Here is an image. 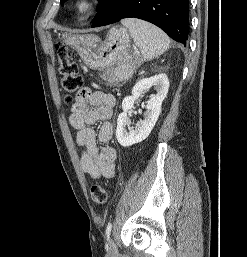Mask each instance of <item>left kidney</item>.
Returning a JSON list of instances; mask_svg holds the SVG:
<instances>
[{"mask_svg": "<svg viewBox=\"0 0 247 257\" xmlns=\"http://www.w3.org/2000/svg\"><path fill=\"white\" fill-rule=\"evenodd\" d=\"M152 86L156 87L157 93L152 94L143 108H146V116L143 120L138 121L135 129L126 130L130 122L127 116L129 109L134 105V102L139 99L145 91H148ZM169 89V80L165 74H159L150 78L139 80L132 89V95L127 96L122 101L123 112L119 114L117 119L116 137L120 145L129 147L133 144L145 140L153 127L155 126L161 105L166 98Z\"/></svg>", "mask_w": 247, "mask_h": 257, "instance_id": "5707ae66", "label": "left kidney"}]
</instances>
